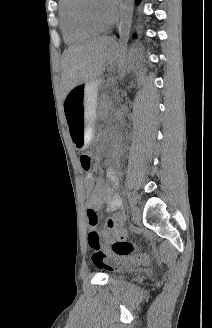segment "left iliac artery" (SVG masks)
I'll return each instance as SVG.
<instances>
[{"label": "left iliac artery", "mask_w": 212, "mask_h": 328, "mask_svg": "<svg viewBox=\"0 0 212 328\" xmlns=\"http://www.w3.org/2000/svg\"><path fill=\"white\" fill-rule=\"evenodd\" d=\"M126 195H127V198L129 199V202L131 203V197H130V194L127 193Z\"/></svg>", "instance_id": "44dca946"}]
</instances>
